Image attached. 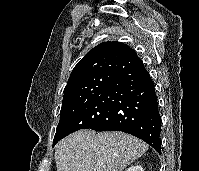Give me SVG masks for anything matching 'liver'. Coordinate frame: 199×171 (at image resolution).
<instances>
[{
	"mask_svg": "<svg viewBox=\"0 0 199 171\" xmlns=\"http://www.w3.org/2000/svg\"><path fill=\"white\" fill-rule=\"evenodd\" d=\"M147 149L145 142L130 134L84 129L62 139L54 158L57 171H123Z\"/></svg>",
	"mask_w": 199,
	"mask_h": 171,
	"instance_id": "obj_1",
	"label": "liver"
}]
</instances>
